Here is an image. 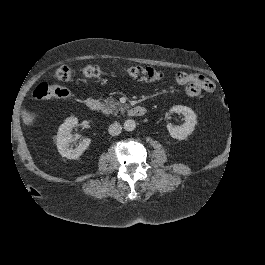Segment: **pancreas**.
<instances>
[{
	"label": "pancreas",
	"mask_w": 265,
	"mask_h": 265,
	"mask_svg": "<svg viewBox=\"0 0 265 265\" xmlns=\"http://www.w3.org/2000/svg\"><path fill=\"white\" fill-rule=\"evenodd\" d=\"M127 108H129V106L123 105L122 103L115 101L112 97H110L105 100L104 113L105 114L114 113L116 115L119 111L121 113H124Z\"/></svg>",
	"instance_id": "cf45deb5"
}]
</instances>
